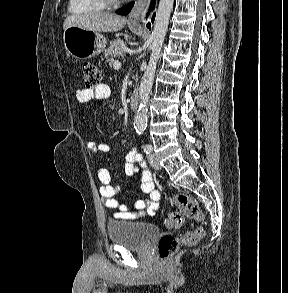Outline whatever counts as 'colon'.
<instances>
[{
	"label": "colon",
	"mask_w": 288,
	"mask_h": 293,
	"mask_svg": "<svg viewBox=\"0 0 288 293\" xmlns=\"http://www.w3.org/2000/svg\"><path fill=\"white\" fill-rule=\"evenodd\" d=\"M83 78L86 89L94 90L101 85L102 75L99 68L92 63L83 65ZM173 202L179 207L180 212H170L163 219V225L167 229H177L184 223V218L194 220L202 219V212L196 201L187 194H178L173 198ZM204 235V230L200 227L184 233L181 237L164 235L158 242V250L161 259L171 258L181 246H193Z\"/></svg>",
	"instance_id": "colon-1"
}]
</instances>
